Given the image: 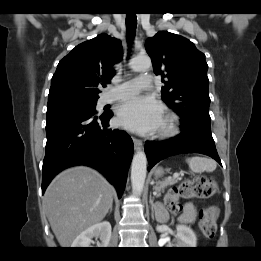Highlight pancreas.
Here are the masks:
<instances>
[{
    "mask_svg": "<svg viewBox=\"0 0 261 261\" xmlns=\"http://www.w3.org/2000/svg\"><path fill=\"white\" fill-rule=\"evenodd\" d=\"M175 180H165L163 182H159L154 186V190L156 192V196L159 197L161 195V192H164V188L169 184H174Z\"/></svg>",
    "mask_w": 261,
    "mask_h": 261,
    "instance_id": "pancreas-1",
    "label": "pancreas"
}]
</instances>
